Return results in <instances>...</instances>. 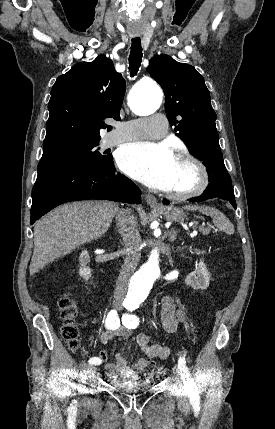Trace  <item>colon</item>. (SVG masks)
<instances>
[{
	"instance_id": "5ec220e1",
	"label": "colon",
	"mask_w": 275,
	"mask_h": 429,
	"mask_svg": "<svg viewBox=\"0 0 275 429\" xmlns=\"http://www.w3.org/2000/svg\"><path fill=\"white\" fill-rule=\"evenodd\" d=\"M58 305L63 319L62 335L68 347L72 351H76L79 348V327L77 322L79 311L76 301L68 293H63L59 297ZM147 368L149 377L155 380L159 371L157 365L150 361Z\"/></svg>"
}]
</instances>
